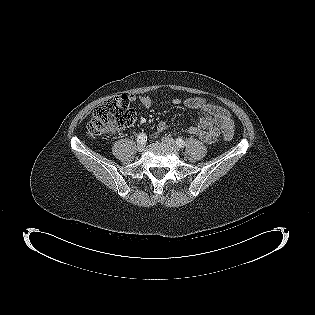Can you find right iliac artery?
Returning <instances> with one entry per match:
<instances>
[{
	"label": "right iliac artery",
	"mask_w": 315,
	"mask_h": 315,
	"mask_svg": "<svg viewBox=\"0 0 315 315\" xmlns=\"http://www.w3.org/2000/svg\"><path fill=\"white\" fill-rule=\"evenodd\" d=\"M147 141V136L146 134L144 133H140L138 136H137V142L139 143H144Z\"/></svg>",
	"instance_id": "obj_1"
}]
</instances>
